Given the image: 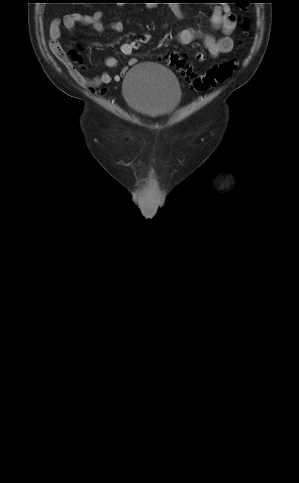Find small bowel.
I'll list each match as a JSON object with an SVG mask.
<instances>
[{
    "instance_id": "small-bowel-1",
    "label": "small bowel",
    "mask_w": 299,
    "mask_h": 483,
    "mask_svg": "<svg viewBox=\"0 0 299 483\" xmlns=\"http://www.w3.org/2000/svg\"><path fill=\"white\" fill-rule=\"evenodd\" d=\"M171 11L178 19L183 18V12L179 6H171ZM103 15L104 14L102 11H96L92 15H85L81 13L67 14L62 20L54 19L49 27V47L52 53L73 74L76 81L86 86L90 90H96L102 85L109 84L112 81H120L125 75L128 67H123L118 74L103 72L95 77H88L78 72H73L74 65L60 42L62 37L61 24L63 23V25L69 30L75 29L78 24H86L90 25L92 29L97 32H103L107 28L117 33L123 31L124 26L120 21L113 22L109 26H106L102 22ZM211 23L213 27L221 29L222 36L220 38L216 39L212 35L201 34L192 29L184 28L181 29L177 34L178 41L181 44L188 45L197 39H201L209 55L213 58H217L222 54L232 52L234 48V41L231 37V34L236 28V20L234 15L229 12V9L225 4H218L214 7L211 15ZM151 40L152 35L150 33H144L138 39L122 43L120 45V52L125 56H131L134 51L140 49L143 45L148 44ZM194 57L198 61L205 60V54L200 51H196L194 53ZM137 62L138 60L136 58L131 57L128 60V66H133ZM118 63V59L113 56L105 59V65L108 67H116Z\"/></svg>"
}]
</instances>
